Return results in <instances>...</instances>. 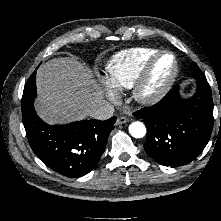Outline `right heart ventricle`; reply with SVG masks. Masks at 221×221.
I'll list each match as a JSON object with an SVG mask.
<instances>
[{
  "label": "right heart ventricle",
  "mask_w": 221,
  "mask_h": 221,
  "mask_svg": "<svg viewBox=\"0 0 221 221\" xmlns=\"http://www.w3.org/2000/svg\"><path fill=\"white\" fill-rule=\"evenodd\" d=\"M159 51L155 48L136 47L117 52L105 66L109 83L115 89L132 88L146 62Z\"/></svg>",
  "instance_id": "obj_1"
}]
</instances>
